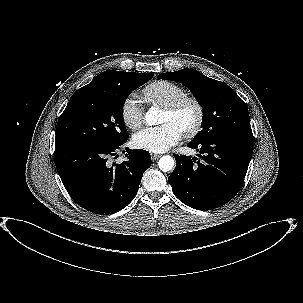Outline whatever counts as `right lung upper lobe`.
Masks as SVG:
<instances>
[{
  "label": "right lung upper lobe",
  "mask_w": 303,
  "mask_h": 303,
  "mask_svg": "<svg viewBox=\"0 0 303 303\" xmlns=\"http://www.w3.org/2000/svg\"><path fill=\"white\" fill-rule=\"evenodd\" d=\"M131 73L132 72H119V71L108 70L99 74L96 78L93 79L91 83H94L103 77H109V78L124 77L130 75Z\"/></svg>",
  "instance_id": "right-lung-upper-lobe-1"
}]
</instances>
